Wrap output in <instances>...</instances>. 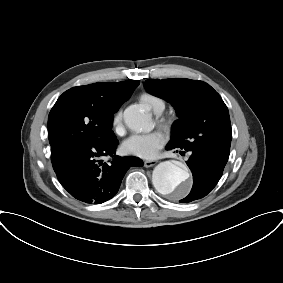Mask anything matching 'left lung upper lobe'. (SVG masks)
<instances>
[{"label":"left lung upper lobe","instance_id":"obj_1","mask_svg":"<svg viewBox=\"0 0 283 283\" xmlns=\"http://www.w3.org/2000/svg\"><path fill=\"white\" fill-rule=\"evenodd\" d=\"M144 85L148 93L175 107L179 119L172 126L169 144L229 156L232 131L228 108L210 85L183 78L148 79Z\"/></svg>","mask_w":283,"mask_h":283}]
</instances>
